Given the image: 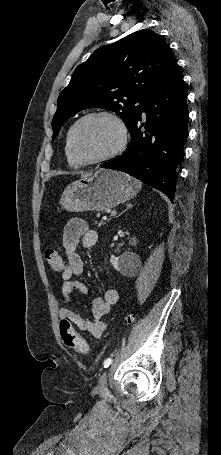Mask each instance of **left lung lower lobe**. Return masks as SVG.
Instances as JSON below:
<instances>
[{
  "label": "left lung lower lobe",
  "instance_id": "left-lung-lower-lobe-1",
  "mask_svg": "<svg viewBox=\"0 0 221 455\" xmlns=\"http://www.w3.org/2000/svg\"><path fill=\"white\" fill-rule=\"evenodd\" d=\"M186 97L184 81L175 63L146 98L131 127L129 147L120 157L100 167L126 172L172 200L188 135ZM143 112L146 114L145 123L141 122Z\"/></svg>",
  "mask_w": 221,
  "mask_h": 455
}]
</instances>
